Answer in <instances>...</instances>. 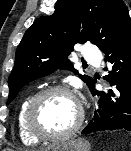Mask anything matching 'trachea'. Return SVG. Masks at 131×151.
<instances>
[{"mask_svg":"<svg viewBox=\"0 0 131 151\" xmlns=\"http://www.w3.org/2000/svg\"><path fill=\"white\" fill-rule=\"evenodd\" d=\"M83 65H87L86 62H84Z\"/></svg>","mask_w":131,"mask_h":151,"instance_id":"1","label":"trachea"}]
</instances>
